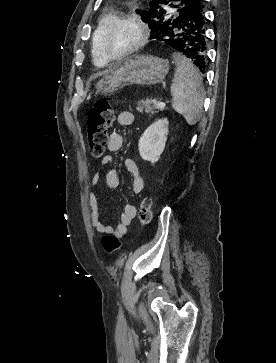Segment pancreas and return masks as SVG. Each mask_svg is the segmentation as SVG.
Returning a JSON list of instances; mask_svg holds the SVG:
<instances>
[{"instance_id":"obj_1","label":"pancreas","mask_w":276,"mask_h":363,"mask_svg":"<svg viewBox=\"0 0 276 363\" xmlns=\"http://www.w3.org/2000/svg\"><path fill=\"white\" fill-rule=\"evenodd\" d=\"M136 110L140 113L145 112L146 114H154L157 113L158 110H162L158 107L157 102L153 99L141 100L138 102Z\"/></svg>"}]
</instances>
